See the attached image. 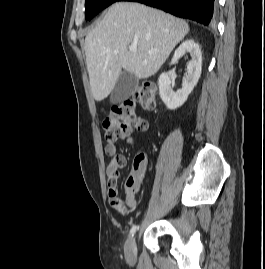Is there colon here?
<instances>
[{
	"mask_svg": "<svg viewBox=\"0 0 265 269\" xmlns=\"http://www.w3.org/2000/svg\"><path fill=\"white\" fill-rule=\"evenodd\" d=\"M157 89L153 83H143L130 99L112 107L103 121L104 138L112 143L129 135L134 129H141L144 123L136 115V107L153 110L156 105Z\"/></svg>",
	"mask_w": 265,
	"mask_h": 269,
	"instance_id": "colon-1",
	"label": "colon"
}]
</instances>
